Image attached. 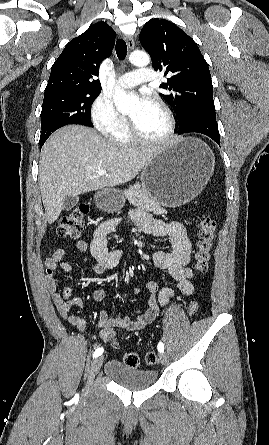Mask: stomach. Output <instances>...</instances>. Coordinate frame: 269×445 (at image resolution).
I'll use <instances>...</instances> for the list:
<instances>
[{"mask_svg":"<svg viewBox=\"0 0 269 445\" xmlns=\"http://www.w3.org/2000/svg\"><path fill=\"white\" fill-rule=\"evenodd\" d=\"M214 164V154L205 143L194 137H180L165 146L144 167L141 186L161 206L179 207L204 189ZM94 201L99 209L109 213L121 210L125 204L124 194L115 188L96 193Z\"/></svg>","mask_w":269,"mask_h":445,"instance_id":"1","label":"stomach"}]
</instances>
